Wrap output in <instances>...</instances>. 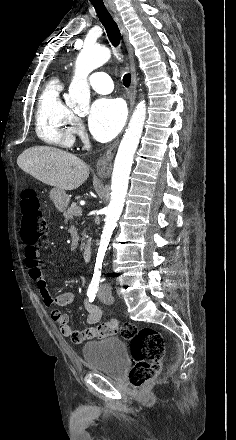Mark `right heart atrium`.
Returning a JSON list of instances; mask_svg holds the SVG:
<instances>
[{
    "instance_id": "d8ad5b80",
    "label": "right heart atrium",
    "mask_w": 236,
    "mask_h": 440,
    "mask_svg": "<svg viewBox=\"0 0 236 440\" xmlns=\"http://www.w3.org/2000/svg\"><path fill=\"white\" fill-rule=\"evenodd\" d=\"M75 133L82 136L84 133L82 122L79 119H75Z\"/></svg>"
}]
</instances>
